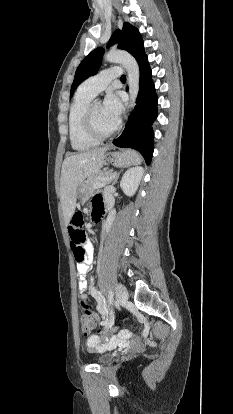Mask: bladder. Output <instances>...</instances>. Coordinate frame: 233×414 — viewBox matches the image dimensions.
I'll return each instance as SVG.
<instances>
[{
  "label": "bladder",
  "mask_w": 233,
  "mask_h": 414,
  "mask_svg": "<svg viewBox=\"0 0 233 414\" xmlns=\"http://www.w3.org/2000/svg\"><path fill=\"white\" fill-rule=\"evenodd\" d=\"M112 360V355L110 353H103L97 358V362L101 365L107 364Z\"/></svg>",
  "instance_id": "31cf9c89"
}]
</instances>
